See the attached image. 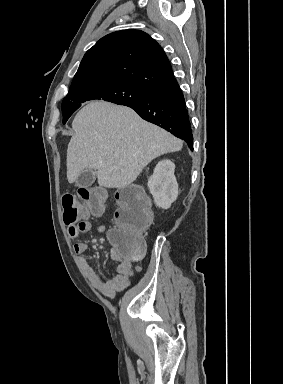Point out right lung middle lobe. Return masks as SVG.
I'll use <instances>...</instances> for the list:
<instances>
[{
	"instance_id": "obj_1",
	"label": "right lung middle lobe",
	"mask_w": 283,
	"mask_h": 384,
	"mask_svg": "<svg viewBox=\"0 0 283 384\" xmlns=\"http://www.w3.org/2000/svg\"><path fill=\"white\" fill-rule=\"evenodd\" d=\"M148 94L147 89L120 82L100 83L70 89L62 102L63 124L86 101L98 99L123 105L141 101Z\"/></svg>"
}]
</instances>
